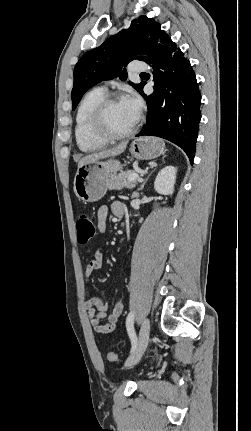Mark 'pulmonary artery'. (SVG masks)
Instances as JSON below:
<instances>
[{
  "instance_id": "1",
  "label": "pulmonary artery",
  "mask_w": 251,
  "mask_h": 431,
  "mask_svg": "<svg viewBox=\"0 0 251 431\" xmlns=\"http://www.w3.org/2000/svg\"><path fill=\"white\" fill-rule=\"evenodd\" d=\"M148 65L145 62H134L131 65V70L134 73H141L148 70ZM100 89L105 90L103 87H100Z\"/></svg>"
}]
</instances>
